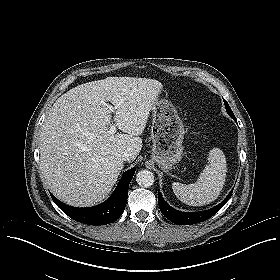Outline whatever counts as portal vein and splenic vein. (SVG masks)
<instances>
[{"label":"portal vein and splenic vein","instance_id":"portal-vein-and-splenic-vein-1","mask_svg":"<svg viewBox=\"0 0 280 280\" xmlns=\"http://www.w3.org/2000/svg\"><path fill=\"white\" fill-rule=\"evenodd\" d=\"M109 109H110V111H113V110H114V108H113L112 106H109ZM116 131H117V129H116L115 125H112V126L110 127L108 133L112 135V134H115Z\"/></svg>","mask_w":280,"mask_h":280}]
</instances>
